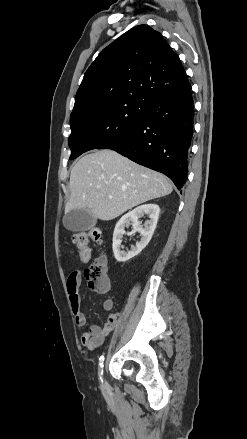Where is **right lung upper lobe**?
I'll return each mask as SVG.
<instances>
[{
    "label": "right lung upper lobe",
    "instance_id": "right-lung-upper-lobe-1",
    "mask_svg": "<svg viewBox=\"0 0 247 439\" xmlns=\"http://www.w3.org/2000/svg\"><path fill=\"white\" fill-rule=\"evenodd\" d=\"M191 88L178 55L148 25L127 31L98 55L76 93L71 116L105 103L129 100L149 106Z\"/></svg>",
    "mask_w": 247,
    "mask_h": 439
}]
</instances>
